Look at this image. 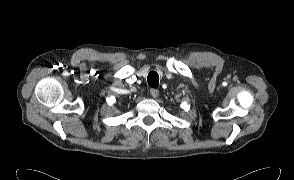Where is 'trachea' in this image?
<instances>
[{
  "label": "trachea",
  "instance_id": "3493384b",
  "mask_svg": "<svg viewBox=\"0 0 294 180\" xmlns=\"http://www.w3.org/2000/svg\"><path fill=\"white\" fill-rule=\"evenodd\" d=\"M147 81L150 87L157 88L159 85V76L157 72L155 71L150 72L148 75Z\"/></svg>",
  "mask_w": 294,
  "mask_h": 180
}]
</instances>
